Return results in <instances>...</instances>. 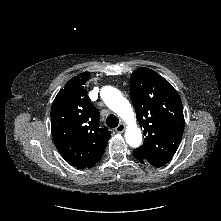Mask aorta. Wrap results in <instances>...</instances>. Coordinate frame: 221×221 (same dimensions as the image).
<instances>
[{"mask_svg":"<svg viewBox=\"0 0 221 221\" xmlns=\"http://www.w3.org/2000/svg\"><path fill=\"white\" fill-rule=\"evenodd\" d=\"M101 97L112 111L128 123L125 132L127 144L134 148L139 147L142 142V133L136 125L134 112L129 101L122 96L119 90L109 86L101 90Z\"/></svg>","mask_w":221,"mask_h":221,"instance_id":"obj_1","label":"aorta"}]
</instances>
